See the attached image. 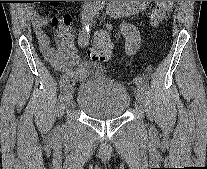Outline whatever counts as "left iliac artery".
Masks as SVG:
<instances>
[{
	"instance_id": "left-iliac-artery-1",
	"label": "left iliac artery",
	"mask_w": 207,
	"mask_h": 169,
	"mask_svg": "<svg viewBox=\"0 0 207 169\" xmlns=\"http://www.w3.org/2000/svg\"><path fill=\"white\" fill-rule=\"evenodd\" d=\"M135 26H124V30H121V35H124V39H127V42H124L125 51H129V54H136L137 46L136 43H139L140 34H137ZM127 55L128 57L130 55ZM133 83L136 86L143 87L144 79L142 77H136L133 80Z\"/></svg>"
}]
</instances>
